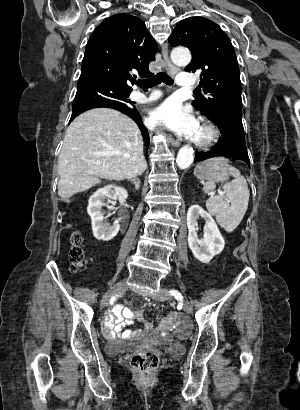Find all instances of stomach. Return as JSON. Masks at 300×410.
Here are the masks:
<instances>
[{
  "label": "stomach",
  "mask_w": 300,
  "mask_h": 410,
  "mask_svg": "<svg viewBox=\"0 0 300 410\" xmlns=\"http://www.w3.org/2000/svg\"><path fill=\"white\" fill-rule=\"evenodd\" d=\"M228 161L224 158H212L199 163L194 170V174L200 179H207L213 182H223L228 180L230 172Z\"/></svg>",
  "instance_id": "0dacf381"
}]
</instances>
